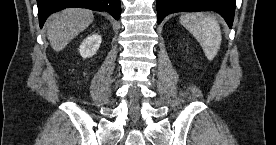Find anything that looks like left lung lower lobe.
<instances>
[{"mask_svg": "<svg viewBox=\"0 0 276 145\" xmlns=\"http://www.w3.org/2000/svg\"><path fill=\"white\" fill-rule=\"evenodd\" d=\"M235 7L236 0H157L158 24L165 16L174 12L213 10L218 12L231 28Z\"/></svg>", "mask_w": 276, "mask_h": 145, "instance_id": "1", "label": "left lung lower lobe"}]
</instances>
